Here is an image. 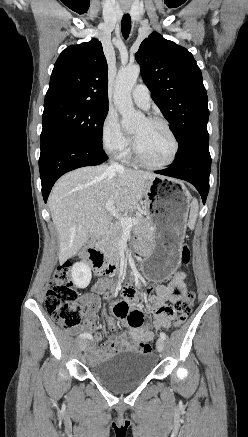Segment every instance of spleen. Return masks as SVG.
Segmentation results:
<instances>
[{"label": "spleen", "instance_id": "1", "mask_svg": "<svg viewBox=\"0 0 248 437\" xmlns=\"http://www.w3.org/2000/svg\"><path fill=\"white\" fill-rule=\"evenodd\" d=\"M198 210H199L198 202L196 199H193L191 203V210H190L189 221H188V226L191 230H193L195 227V223L198 216Z\"/></svg>", "mask_w": 248, "mask_h": 437}]
</instances>
